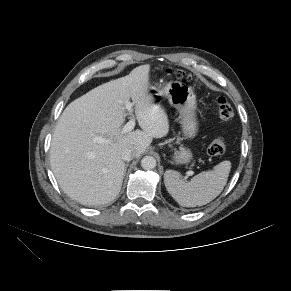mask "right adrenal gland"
I'll return each mask as SVG.
<instances>
[{"label":"right adrenal gland","mask_w":291,"mask_h":291,"mask_svg":"<svg viewBox=\"0 0 291 291\" xmlns=\"http://www.w3.org/2000/svg\"><path fill=\"white\" fill-rule=\"evenodd\" d=\"M127 167H128V164H126V166H125V173H126Z\"/></svg>","instance_id":"2a0ac1e0"}]
</instances>
